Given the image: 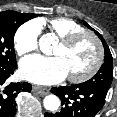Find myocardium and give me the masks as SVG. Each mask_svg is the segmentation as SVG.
<instances>
[{"instance_id": "f54148a6", "label": "myocardium", "mask_w": 117, "mask_h": 117, "mask_svg": "<svg viewBox=\"0 0 117 117\" xmlns=\"http://www.w3.org/2000/svg\"><path fill=\"white\" fill-rule=\"evenodd\" d=\"M84 37H88L94 42L95 47H96V59H95L93 65L84 73H82L80 75H69L68 76V79L74 83L85 82V81L89 80L90 78H92L99 71V69L102 66L103 60H104L103 45H102L100 39L92 32L84 30V31H80V32L71 33V34H68V35L60 38L59 43H61L64 46L69 47Z\"/></svg>"}]
</instances>
